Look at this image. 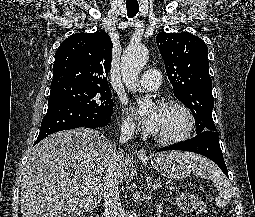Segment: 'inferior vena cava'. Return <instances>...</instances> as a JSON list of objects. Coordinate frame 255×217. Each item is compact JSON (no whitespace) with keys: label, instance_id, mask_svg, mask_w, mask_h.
<instances>
[{"label":"inferior vena cava","instance_id":"602c4592","mask_svg":"<svg viewBox=\"0 0 255 217\" xmlns=\"http://www.w3.org/2000/svg\"><path fill=\"white\" fill-rule=\"evenodd\" d=\"M134 137V129L124 127L120 132V142L126 143ZM118 154L115 146L110 147V157L104 184V217H119L121 203L119 196Z\"/></svg>","mask_w":255,"mask_h":217}]
</instances>
